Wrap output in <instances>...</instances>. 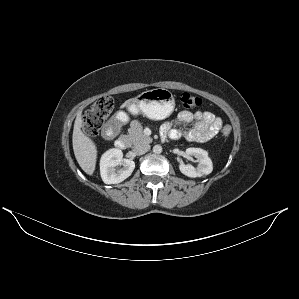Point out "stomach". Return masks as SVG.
Returning <instances> with one entry per match:
<instances>
[{
    "label": "stomach",
    "instance_id": "obj_1",
    "mask_svg": "<svg viewBox=\"0 0 299 299\" xmlns=\"http://www.w3.org/2000/svg\"><path fill=\"white\" fill-rule=\"evenodd\" d=\"M175 107L173 94L164 88L145 91L128 104L132 114L142 113L150 119L162 120L170 116Z\"/></svg>",
    "mask_w": 299,
    "mask_h": 299
}]
</instances>
